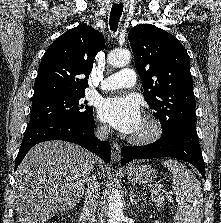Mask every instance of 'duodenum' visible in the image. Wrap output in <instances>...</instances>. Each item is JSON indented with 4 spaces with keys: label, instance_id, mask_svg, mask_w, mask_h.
<instances>
[{
    "label": "duodenum",
    "instance_id": "1",
    "mask_svg": "<svg viewBox=\"0 0 221 223\" xmlns=\"http://www.w3.org/2000/svg\"><path fill=\"white\" fill-rule=\"evenodd\" d=\"M75 222H76V223H81V217H80V216H77V217L75 218Z\"/></svg>",
    "mask_w": 221,
    "mask_h": 223
}]
</instances>
